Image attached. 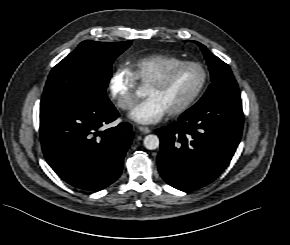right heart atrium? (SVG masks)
<instances>
[{"label":"right heart atrium","mask_w":290,"mask_h":245,"mask_svg":"<svg viewBox=\"0 0 290 245\" xmlns=\"http://www.w3.org/2000/svg\"><path fill=\"white\" fill-rule=\"evenodd\" d=\"M136 81L125 67L117 68L111 75L108 89L111 97L122 110L131 109L136 102Z\"/></svg>","instance_id":"1"}]
</instances>
